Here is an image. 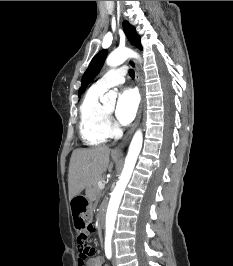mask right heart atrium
<instances>
[{"label":"right heart atrium","instance_id":"obj_1","mask_svg":"<svg viewBox=\"0 0 233 266\" xmlns=\"http://www.w3.org/2000/svg\"><path fill=\"white\" fill-rule=\"evenodd\" d=\"M106 128L109 134L113 135L117 132V126L111 117H107Z\"/></svg>","mask_w":233,"mask_h":266}]
</instances>
